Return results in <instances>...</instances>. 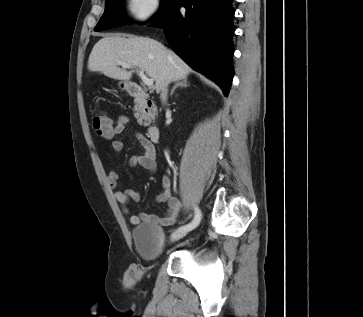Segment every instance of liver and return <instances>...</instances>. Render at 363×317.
Segmentation results:
<instances>
[{"mask_svg":"<svg viewBox=\"0 0 363 317\" xmlns=\"http://www.w3.org/2000/svg\"><path fill=\"white\" fill-rule=\"evenodd\" d=\"M119 63L145 71L155 81L157 93L166 81L185 79L192 72L187 63L158 41L146 37L125 38L120 34L108 35L94 45L88 69L113 79L130 80L133 71L119 68Z\"/></svg>","mask_w":363,"mask_h":317,"instance_id":"liver-1","label":"liver"}]
</instances>
